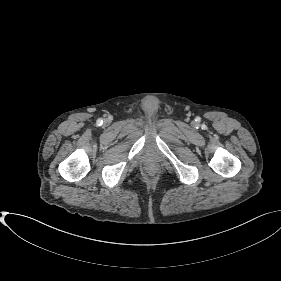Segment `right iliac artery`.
Wrapping results in <instances>:
<instances>
[{
  "mask_svg": "<svg viewBox=\"0 0 281 281\" xmlns=\"http://www.w3.org/2000/svg\"><path fill=\"white\" fill-rule=\"evenodd\" d=\"M99 121V123H101L102 122V120L100 119V120H98Z\"/></svg>",
  "mask_w": 281,
  "mask_h": 281,
  "instance_id": "82829eb1",
  "label": "right iliac artery"
}]
</instances>
